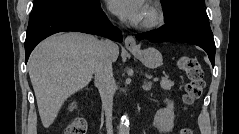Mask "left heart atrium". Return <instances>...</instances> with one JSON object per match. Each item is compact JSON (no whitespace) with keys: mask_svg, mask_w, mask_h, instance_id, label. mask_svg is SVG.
Wrapping results in <instances>:
<instances>
[{"mask_svg":"<svg viewBox=\"0 0 239 134\" xmlns=\"http://www.w3.org/2000/svg\"><path fill=\"white\" fill-rule=\"evenodd\" d=\"M108 3L121 19L135 25L143 21L147 10L142 0H109Z\"/></svg>","mask_w":239,"mask_h":134,"instance_id":"39dd6f15","label":"left heart atrium"}]
</instances>
